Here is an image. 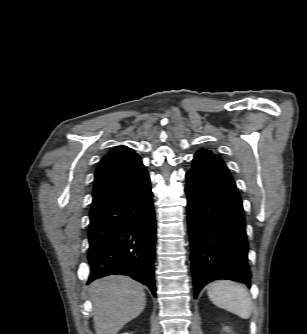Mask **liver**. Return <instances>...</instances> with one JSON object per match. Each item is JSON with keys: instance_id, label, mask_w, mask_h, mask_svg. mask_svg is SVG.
Segmentation results:
<instances>
[{"instance_id": "liver-1", "label": "liver", "mask_w": 307, "mask_h": 334, "mask_svg": "<svg viewBox=\"0 0 307 334\" xmlns=\"http://www.w3.org/2000/svg\"><path fill=\"white\" fill-rule=\"evenodd\" d=\"M96 334H117L146 306L142 285L123 276H108L89 285Z\"/></svg>"}]
</instances>
